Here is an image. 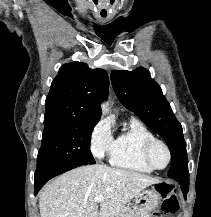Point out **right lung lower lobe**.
<instances>
[{"mask_svg":"<svg viewBox=\"0 0 211 217\" xmlns=\"http://www.w3.org/2000/svg\"><path fill=\"white\" fill-rule=\"evenodd\" d=\"M81 165L76 164H56L48 165L42 168H39L35 172V194L41 189V187L51 178L60 175L66 171L79 167Z\"/></svg>","mask_w":211,"mask_h":217,"instance_id":"1","label":"right lung lower lobe"}]
</instances>
